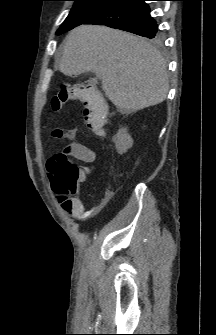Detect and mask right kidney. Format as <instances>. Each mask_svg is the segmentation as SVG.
Segmentation results:
<instances>
[{
    "instance_id": "obj_1",
    "label": "right kidney",
    "mask_w": 216,
    "mask_h": 335,
    "mask_svg": "<svg viewBox=\"0 0 216 335\" xmlns=\"http://www.w3.org/2000/svg\"><path fill=\"white\" fill-rule=\"evenodd\" d=\"M112 140L119 154L125 153L133 145V139L127 132V128H120Z\"/></svg>"
}]
</instances>
